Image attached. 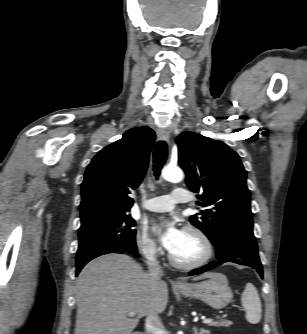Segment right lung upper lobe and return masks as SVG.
Instances as JSON below:
<instances>
[{
	"instance_id": "cb5924a9",
	"label": "right lung upper lobe",
	"mask_w": 307,
	"mask_h": 334,
	"mask_svg": "<svg viewBox=\"0 0 307 334\" xmlns=\"http://www.w3.org/2000/svg\"><path fill=\"white\" fill-rule=\"evenodd\" d=\"M154 141L150 128H132L97 153L82 183L81 217L130 211L133 199L129 194L145 176Z\"/></svg>"
}]
</instances>
